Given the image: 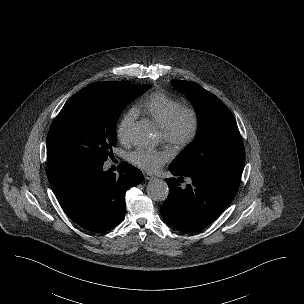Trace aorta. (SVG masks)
Segmentation results:
<instances>
[{"label":"aorta","instance_id":"762f6f07","mask_svg":"<svg viewBox=\"0 0 304 304\" xmlns=\"http://www.w3.org/2000/svg\"><path fill=\"white\" fill-rule=\"evenodd\" d=\"M133 142L137 146H148L152 142L151 129L146 123L137 125L133 132ZM147 193L154 201H164L168 197L169 188L162 179H152L147 185Z\"/></svg>","mask_w":304,"mask_h":304}]
</instances>
